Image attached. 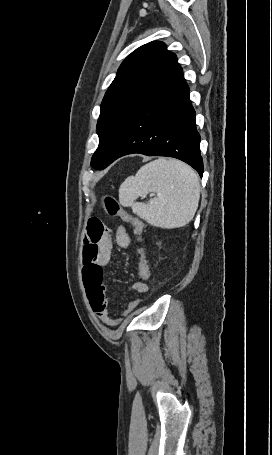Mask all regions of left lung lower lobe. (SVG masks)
<instances>
[{
  "label": "left lung lower lobe",
  "instance_id": "left-lung-lower-lobe-1",
  "mask_svg": "<svg viewBox=\"0 0 272 455\" xmlns=\"http://www.w3.org/2000/svg\"><path fill=\"white\" fill-rule=\"evenodd\" d=\"M168 156L180 159L203 175L200 135L195 125V110L183 72L150 100L128 123L100 162L104 169L127 154Z\"/></svg>",
  "mask_w": 272,
  "mask_h": 455
}]
</instances>
